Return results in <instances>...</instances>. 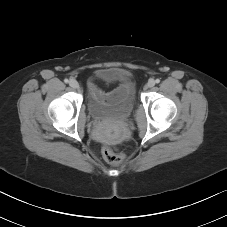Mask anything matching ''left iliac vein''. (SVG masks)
<instances>
[{
  "mask_svg": "<svg viewBox=\"0 0 227 227\" xmlns=\"http://www.w3.org/2000/svg\"><path fill=\"white\" fill-rule=\"evenodd\" d=\"M155 85V81L153 80V79H150L149 81H148V83H147V87L148 88H151V87H153Z\"/></svg>",
  "mask_w": 227,
  "mask_h": 227,
  "instance_id": "obj_1",
  "label": "left iliac vein"
}]
</instances>
